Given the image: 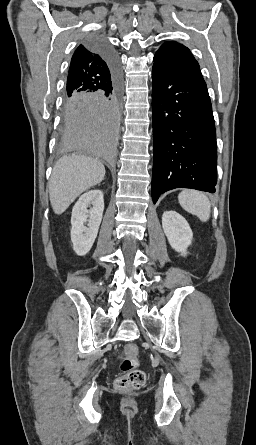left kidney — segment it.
<instances>
[{
  "label": "left kidney",
  "mask_w": 256,
  "mask_h": 445,
  "mask_svg": "<svg viewBox=\"0 0 256 445\" xmlns=\"http://www.w3.org/2000/svg\"><path fill=\"white\" fill-rule=\"evenodd\" d=\"M162 227L171 247L186 256L192 243L193 233L186 219L175 211H165Z\"/></svg>",
  "instance_id": "5707ae66"
}]
</instances>
